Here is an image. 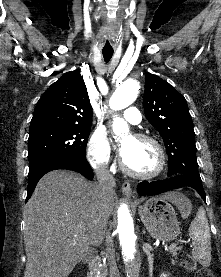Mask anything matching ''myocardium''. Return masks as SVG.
Instances as JSON below:
<instances>
[{"instance_id": "f54148a6", "label": "myocardium", "mask_w": 221, "mask_h": 277, "mask_svg": "<svg viewBox=\"0 0 221 277\" xmlns=\"http://www.w3.org/2000/svg\"><path fill=\"white\" fill-rule=\"evenodd\" d=\"M134 138L138 141H144V142H149L152 145H154V147L157 150L158 156H159V162H158V166L157 168L148 174H141V173H137L134 172L132 170H130L127 165L125 164L123 158H120V168L121 170L128 176L135 178V179H140V180H151L154 179L156 177H158L162 171L164 170L165 164H166V155H165V151L161 145V143L154 137L146 135V134H136L134 135Z\"/></svg>"}]
</instances>
